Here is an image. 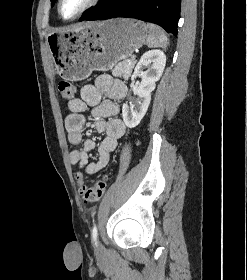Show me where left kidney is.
<instances>
[{
    "mask_svg": "<svg viewBox=\"0 0 247 280\" xmlns=\"http://www.w3.org/2000/svg\"><path fill=\"white\" fill-rule=\"evenodd\" d=\"M165 64L166 55L157 49L145 52L140 58L132 75V89L136 98L131 105L125 103L122 107V117L127 127H136L146 114L152 91L162 76ZM137 77H140L141 81L134 84V79Z\"/></svg>",
    "mask_w": 247,
    "mask_h": 280,
    "instance_id": "obj_1",
    "label": "left kidney"
}]
</instances>
